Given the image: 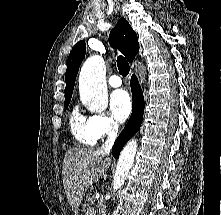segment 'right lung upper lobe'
<instances>
[{
  "label": "right lung upper lobe",
  "instance_id": "right-lung-upper-lobe-1",
  "mask_svg": "<svg viewBox=\"0 0 221 215\" xmlns=\"http://www.w3.org/2000/svg\"><path fill=\"white\" fill-rule=\"evenodd\" d=\"M109 42L111 47L118 48L132 62L139 51V43L136 33L133 31L129 23L121 18L115 28L110 32ZM86 44L84 41H79L71 50L67 70L65 73V96L66 99H71L76 76L82 60L85 57Z\"/></svg>",
  "mask_w": 221,
  "mask_h": 215
}]
</instances>
